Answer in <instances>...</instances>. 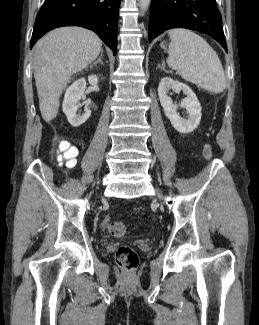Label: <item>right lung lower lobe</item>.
Here are the masks:
<instances>
[{
    "label": "right lung lower lobe",
    "mask_w": 259,
    "mask_h": 325,
    "mask_svg": "<svg viewBox=\"0 0 259 325\" xmlns=\"http://www.w3.org/2000/svg\"><path fill=\"white\" fill-rule=\"evenodd\" d=\"M120 1L45 0L36 17L30 48L51 29L81 26L94 31L115 55Z\"/></svg>",
    "instance_id": "obj_1"
}]
</instances>
